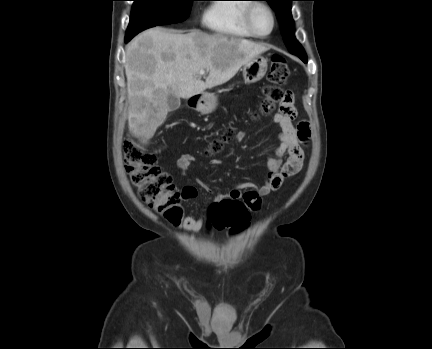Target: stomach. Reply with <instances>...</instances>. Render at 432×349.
I'll return each mask as SVG.
<instances>
[{
  "instance_id": "obj_1",
  "label": "stomach",
  "mask_w": 432,
  "mask_h": 349,
  "mask_svg": "<svg viewBox=\"0 0 432 349\" xmlns=\"http://www.w3.org/2000/svg\"><path fill=\"white\" fill-rule=\"evenodd\" d=\"M268 60L262 56H257L243 67V78L245 83H255L261 80L267 72ZM218 106L217 96L213 93H202L197 102L196 110L202 114L212 113Z\"/></svg>"
}]
</instances>
